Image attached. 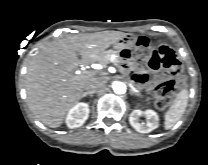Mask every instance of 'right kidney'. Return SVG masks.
<instances>
[{
  "instance_id": "1",
  "label": "right kidney",
  "mask_w": 208,
  "mask_h": 165,
  "mask_svg": "<svg viewBox=\"0 0 208 165\" xmlns=\"http://www.w3.org/2000/svg\"><path fill=\"white\" fill-rule=\"evenodd\" d=\"M89 105L87 103H78L73 106L67 113L66 125L69 128L82 126L89 116Z\"/></svg>"
}]
</instances>
